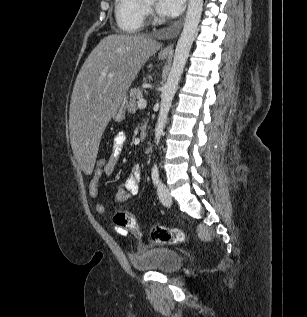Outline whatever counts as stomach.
<instances>
[{
	"label": "stomach",
	"instance_id": "1",
	"mask_svg": "<svg viewBox=\"0 0 307 317\" xmlns=\"http://www.w3.org/2000/svg\"><path fill=\"white\" fill-rule=\"evenodd\" d=\"M160 59H165V55H160ZM126 102H127V97H124L117 106V109L115 113L113 114V119L117 122H121L125 118V113H126Z\"/></svg>",
	"mask_w": 307,
	"mask_h": 317
}]
</instances>
